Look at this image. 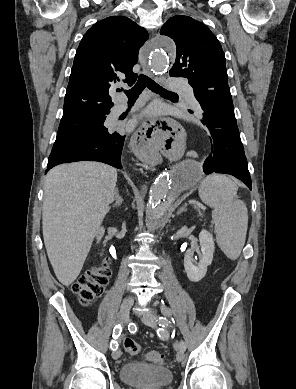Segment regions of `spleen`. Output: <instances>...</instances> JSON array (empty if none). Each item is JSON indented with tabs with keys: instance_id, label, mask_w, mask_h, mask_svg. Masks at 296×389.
Here are the masks:
<instances>
[{
	"instance_id": "1",
	"label": "spleen",
	"mask_w": 296,
	"mask_h": 389,
	"mask_svg": "<svg viewBox=\"0 0 296 389\" xmlns=\"http://www.w3.org/2000/svg\"><path fill=\"white\" fill-rule=\"evenodd\" d=\"M237 191V185L220 174L207 176L198 189L201 200L213 208L216 242L231 260L240 256L248 227L247 207L237 198Z\"/></svg>"
}]
</instances>
